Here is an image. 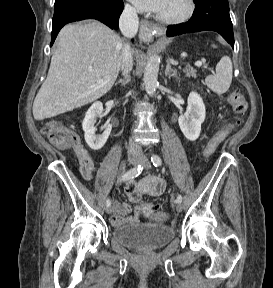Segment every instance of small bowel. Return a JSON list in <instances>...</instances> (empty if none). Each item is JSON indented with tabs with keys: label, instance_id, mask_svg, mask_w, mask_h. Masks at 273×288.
I'll return each mask as SVG.
<instances>
[{
	"label": "small bowel",
	"instance_id": "small-bowel-1",
	"mask_svg": "<svg viewBox=\"0 0 273 288\" xmlns=\"http://www.w3.org/2000/svg\"><path fill=\"white\" fill-rule=\"evenodd\" d=\"M76 158L80 164L82 177L90 181L93 178L94 162L83 145L77 141L74 145ZM165 181L156 176H147L136 182L129 179L125 185V192L131 203L136 204L133 212L128 203L114 202V214L111 218L113 225L124 223H137L142 215H145L141 207L137 205L143 195L160 196L165 191Z\"/></svg>",
	"mask_w": 273,
	"mask_h": 288
}]
</instances>
